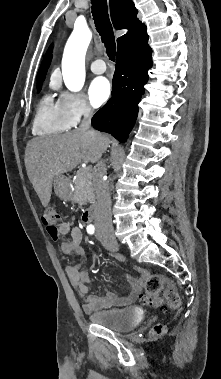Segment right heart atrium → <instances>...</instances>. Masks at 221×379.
<instances>
[{"label":"right heart atrium","instance_id":"d8ad5b80","mask_svg":"<svg viewBox=\"0 0 221 379\" xmlns=\"http://www.w3.org/2000/svg\"><path fill=\"white\" fill-rule=\"evenodd\" d=\"M58 102L73 126L94 113L92 104L82 92L61 91Z\"/></svg>","mask_w":221,"mask_h":379}]
</instances>
